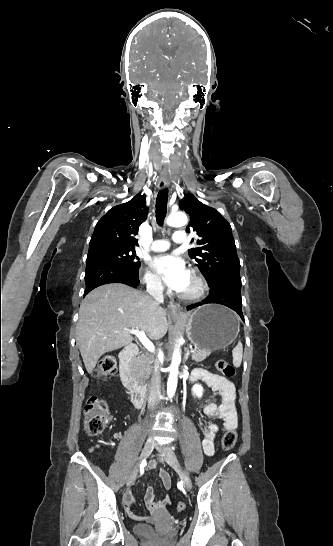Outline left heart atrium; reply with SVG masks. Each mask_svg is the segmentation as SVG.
Returning a JSON list of instances; mask_svg holds the SVG:
<instances>
[{
	"mask_svg": "<svg viewBox=\"0 0 333 546\" xmlns=\"http://www.w3.org/2000/svg\"><path fill=\"white\" fill-rule=\"evenodd\" d=\"M152 266L163 281L177 292H183L190 281L189 270L184 261L175 254L169 253L155 257Z\"/></svg>",
	"mask_w": 333,
	"mask_h": 546,
	"instance_id": "obj_1",
	"label": "left heart atrium"
}]
</instances>
